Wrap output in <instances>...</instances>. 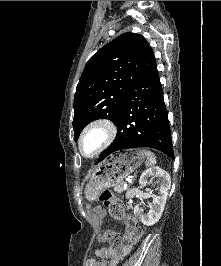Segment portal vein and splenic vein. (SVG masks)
<instances>
[{
	"mask_svg": "<svg viewBox=\"0 0 221 266\" xmlns=\"http://www.w3.org/2000/svg\"><path fill=\"white\" fill-rule=\"evenodd\" d=\"M131 180H128V182H130ZM127 186V183H125V187Z\"/></svg>",
	"mask_w": 221,
	"mask_h": 266,
	"instance_id": "1",
	"label": "portal vein and splenic vein"
}]
</instances>
